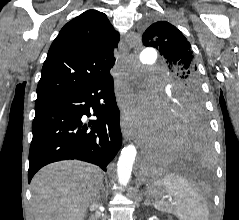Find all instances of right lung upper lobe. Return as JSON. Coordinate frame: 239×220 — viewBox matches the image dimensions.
Here are the masks:
<instances>
[{
    "label": "right lung upper lobe",
    "instance_id": "right-lung-upper-lobe-1",
    "mask_svg": "<svg viewBox=\"0 0 239 220\" xmlns=\"http://www.w3.org/2000/svg\"><path fill=\"white\" fill-rule=\"evenodd\" d=\"M118 40L107 16L97 10L64 25L43 64L36 102L84 89L109 73Z\"/></svg>",
    "mask_w": 239,
    "mask_h": 220
}]
</instances>
